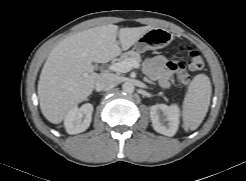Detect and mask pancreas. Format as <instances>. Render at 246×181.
<instances>
[{"label": "pancreas", "mask_w": 246, "mask_h": 181, "mask_svg": "<svg viewBox=\"0 0 246 181\" xmlns=\"http://www.w3.org/2000/svg\"><path fill=\"white\" fill-rule=\"evenodd\" d=\"M128 59H134L136 62L139 63L141 61V56L136 51H128V52L123 53L120 56V61H124V60H128Z\"/></svg>", "instance_id": "cf45deb5"}]
</instances>
